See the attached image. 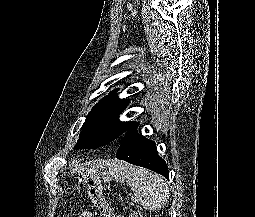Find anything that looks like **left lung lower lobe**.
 <instances>
[{
    "mask_svg": "<svg viewBox=\"0 0 255 217\" xmlns=\"http://www.w3.org/2000/svg\"><path fill=\"white\" fill-rule=\"evenodd\" d=\"M138 123L134 122L121 138L116 157L131 164L150 169L168 179L166 162L159 157L156 144L138 134Z\"/></svg>",
    "mask_w": 255,
    "mask_h": 217,
    "instance_id": "0a47b994",
    "label": "left lung lower lobe"
}]
</instances>
